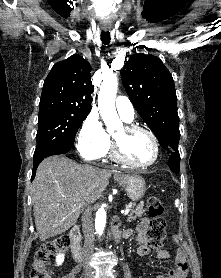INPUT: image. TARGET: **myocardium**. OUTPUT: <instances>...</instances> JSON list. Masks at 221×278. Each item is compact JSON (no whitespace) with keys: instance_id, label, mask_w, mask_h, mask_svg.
Returning a JSON list of instances; mask_svg holds the SVG:
<instances>
[{"instance_id":"myocardium-1","label":"myocardium","mask_w":221,"mask_h":278,"mask_svg":"<svg viewBox=\"0 0 221 278\" xmlns=\"http://www.w3.org/2000/svg\"><path fill=\"white\" fill-rule=\"evenodd\" d=\"M124 129L127 133H135V132L141 131V132L148 134V136L151 138V140L153 142L154 158L151 162H149L147 164L133 163L124 155L120 144L118 143V141L115 138H113L112 154H113L114 158L117 159L118 161L124 163L125 165L135 168V169H147V168L153 166L158 161L159 156H160V146H159V142H158L156 135L150 129L143 127V126H139V125H126L124 127Z\"/></svg>"}]
</instances>
